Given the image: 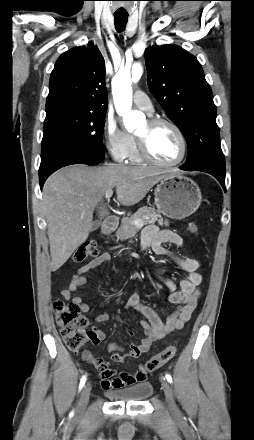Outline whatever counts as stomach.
Instances as JSON below:
<instances>
[{
    "label": "stomach",
    "mask_w": 254,
    "mask_h": 440,
    "mask_svg": "<svg viewBox=\"0 0 254 440\" xmlns=\"http://www.w3.org/2000/svg\"><path fill=\"white\" fill-rule=\"evenodd\" d=\"M201 191L190 178L168 173L155 189V204L163 215L176 220L189 217L201 204Z\"/></svg>",
    "instance_id": "obj_1"
}]
</instances>
